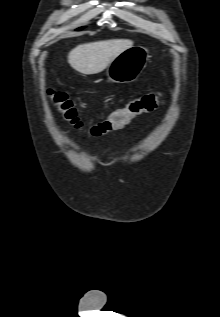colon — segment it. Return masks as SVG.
I'll return each instance as SVG.
<instances>
[{"label": "colon", "mask_w": 220, "mask_h": 317, "mask_svg": "<svg viewBox=\"0 0 220 317\" xmlns=\"http://www.w3.org/2000/svg\"><path fill=\"white\" fill-rule=\"evenodd\" d=\"M48 97L52 106L66 122L77 130L84 128L73 101L66 94L51 90L48 92ZM162 103V95L158 92L143 94L113 110L102 121L94 124L89 132L94 136H102L122 129L137 116L156 110Z\"/></svg>", "instance_id": "1"}]
</instances>
